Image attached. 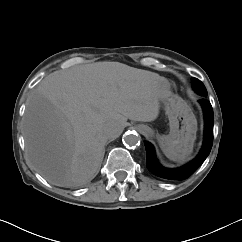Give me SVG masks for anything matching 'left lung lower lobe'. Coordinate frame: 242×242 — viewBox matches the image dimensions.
<instances>
[{
    "mask_svg": "<svg viewBox=\"0 0 242 242\" xmlns=\"http://www.w3.org/2000/svg\"><path fill=\"white\" fill-rule=\"evenodd\" d=\"M204 110L205 117V134L203 147L199 155L189 164L175 169H168L161 166L155 156L153 146L149 142H145V148L147 153L146 165L150 172L154 175L169 179V180H184L192 175L195 170L204 162L209 155L213 144V109L209 101L205 98L199 100Z\"/></svg>",
    "mask_w": 242,
    "mask_h": 242,
    "instance_id": "0a47b994",
    "label": "left lung lower lobe"
}]
</instances>
